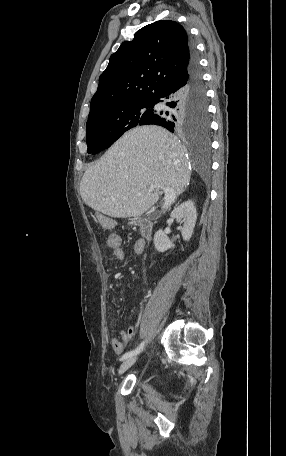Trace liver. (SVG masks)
Returning a JSON list of instances; mask_svg holds the SVG:
<instances>
[{
  "instance_id": "1",
  "label": "liver",
  "mask_w": 286,
  "mask_h": 456,
  "mask_svg": "<svg viewBox=\"0 0 286 456\" xmlns=\"http://www.w3.org/2000/svg\"><path fill=\"white\" fill-rule=\"evenodd\" d=\"M190 176L186 149L177 137L159 126H141L85 171L80 194L89 207L110 217H139L159 199L151 184L173 189L176 196Z\"/></svg>"
}]
</instances>
